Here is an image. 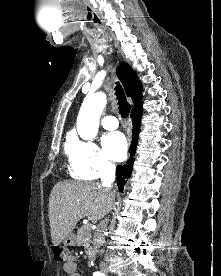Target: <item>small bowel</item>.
<instances>
[{
    "label": "small bowel",
    "mask_w": 221,
    "mask_h": 276,
    "mask_svg": "<svg viewBox=\"0 0 221 276\" xmlns=\"http://www.w3.org/2000/svg\"><path fill=\"white\" fill-rule=\"evenodd\" d=\"M63 269L69 276H81L77 269L76 259L73 256L66 259L63 264Z\"/></svg>",
    "instance_id": "obj_1"
}]
</instances>
